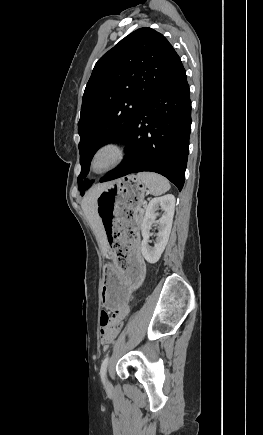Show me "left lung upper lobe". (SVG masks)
<instances>
[{
    "label": "left lung upper lobe",
    "mask_w": 263,
    "mask_h": 435,
    "mask_svg": "<svg viewBox=\"0 0 263 435\" xmlns=\"http://www.w3.org/2000/svg\"><path fill=\"white\" fill-rule=\"evenodd\" d=\"M180 63L167 39L148 27L132 32L97 61L78 123L81 195L91 186L84 178L96 150L109 141L125 142L146 102Z\"/></svg>",
    "instance_id": "obj_1"
}]
</instances>
